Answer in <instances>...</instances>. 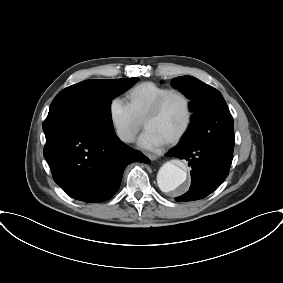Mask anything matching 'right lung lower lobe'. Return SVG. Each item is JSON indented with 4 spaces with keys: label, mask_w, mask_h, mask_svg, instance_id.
Masks as SVG:
<instances>
[{
    "label": "right lung lower lobe",
    "mask_w": 283,
    "mask_h": 283,
    "mask_svg": "<svg viewBox=\"0 0 283 283\" xmlns=\"http://www.w3.org/2000/svg\"><path fill=\"white\" fill-rule=\"evenodd\" d=\"M43 155L54 181L72 198L88 203L116 194L128 164L150 162L125 145L114 130H61L46 138Z\"/></svg>",
    "instance_id": "right-lung-lower-lobe-1"
}]
</instances>
